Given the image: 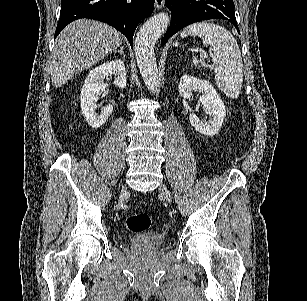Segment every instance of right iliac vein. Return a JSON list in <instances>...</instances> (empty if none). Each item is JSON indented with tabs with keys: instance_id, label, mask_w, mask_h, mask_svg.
Instances as JSON below:
<instances>
[{
	"instance_id": "right-iliac-vein-1",
	"label": "right iliac vein",
	"mask_w": 307,
	"mask_h": 301,
	"mask_svg": "<svg viewBox=\"0 0 307 301\" xmlns=\"http://www.w3.org/2000/svg\"><path fill=\"white\" fill-rule=\"evenodd\" d=\"M127 195H128V191L126 189H123L120 194L119 205L123 204V201Z\"/></svg>"
}]
</instances>
